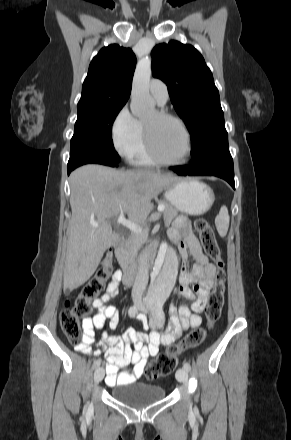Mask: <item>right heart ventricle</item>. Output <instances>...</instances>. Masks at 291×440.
Instances as JSON below:
<instances>
[{"label":"right heart ventricle","mask_w":291,"mask_h":440,"mask_svg":"<svg viewBox=\"0 0 291 440\" xmlns=\"http://www.w3.org/2000/svg\"><path fill=\"white\" fill-rule=\"evenodd\" d=\"M140 126H141V134L138 144L136 148L128 156V160L134 166H140V167L157 166L158 163L150 156L146 148L144 134H143V127L141 122H140Z\"/></svg>","instance_id":"right-heart-ventricle-1"}]
</instances>
